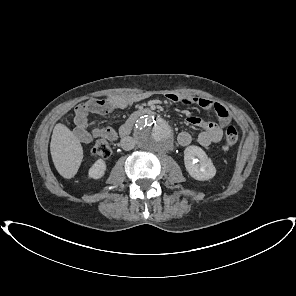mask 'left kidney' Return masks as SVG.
<instances>
[{
    "instance_id": "left-kidney-1",
    "label": "left kidney",
    "mask_w": 296,
    "mask_h": 296,
    "mask_svg": "<svg viewBox=\"0 0 296 296\" xmlns=\"http://www.w3.org/2000/svg\"><path fill=\"white\" fill-rule=\"evenodd\" d=\"M184 164L189 175L195 180H209L216 174L212 160L202 148L195 145L184 150Z\"/></svg>"
}]
</instances>
